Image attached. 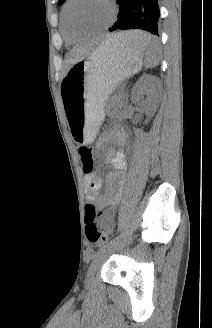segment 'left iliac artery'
<instances>
[{"label": "left iliac artery", "mask_w": 212, "mask_h": 328, "mask_svg": "<svg viewBox=\"0 0 212 328\" xmlns=\"http://www.w3.org/2000/svg\"><path fill=\"white\" fill-rule=\"evenodd\" d=\"M120 237H121V235H118V236H116L115 238H113L112 240H110L108 243H106V244L103 245L101 248H99L98 251L95 252V253L93 254L92 257L95 258L96 255H97L99 252H101V251L105 250L106 248H108V247L114 245L115 243H117V242L119 241Z\"/></svg>", "instance_id": "44dca946"}]
</instances>
